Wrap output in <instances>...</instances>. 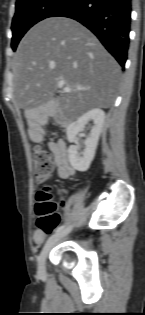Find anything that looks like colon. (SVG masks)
Masks as SVG:
<instances>
[{"label": "colon", "mask_w": 145, "mask_h": 315, "mask_svg": "<svg viewBox=\"0 0 145 315\" xmlns=\"http://www.w3.org/2000/svg\"><path fill=\"white\" fill-rule=\"evenodd\" d=\"M33 161L36 177L41 180L46 179L53 168L50 153L36 146L33 151ZM36 213L38 215L37 227L45 234L51 233L61 221V215L56 211V204L48 188H43L37 193Z\"/></svg>", "instance_id": "1"}]
</instances>
